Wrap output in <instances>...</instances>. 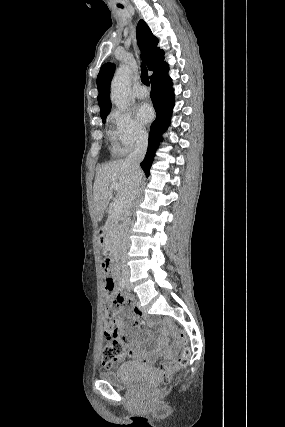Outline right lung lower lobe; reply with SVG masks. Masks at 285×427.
Segmentation results:
<instances>
[{"instance_id": "obj_1", "label": "right lung lower lobe", "mask_w": 285, "mask_h": 427, "mask_svg": "<svg viewBox=\"0 0 285 427\" xmlns=\"http://www.w3.org/2000/svg\"><path fill=\"white\" fill-rule=\"evenodd\" d=\"M151 85V99L156 110V119L150 128L148 150L145 159L140 163L146 176L149 175L155 152L159 142L162 140L161 134L170 124L175 97L172 89V80L168 75L151 81Z\"/></svg>"}]
</instances>
